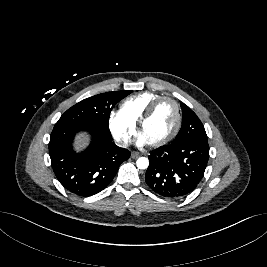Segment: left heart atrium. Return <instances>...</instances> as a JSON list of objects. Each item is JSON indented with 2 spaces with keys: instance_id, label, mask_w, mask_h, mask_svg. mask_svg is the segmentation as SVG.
<instances>
[{
  "instance_id": "39dd6f15",
  "label": "left heart atrium",
  "mask_w": 267,
  "mask_h": 267,
  "mask_svg": "<svg viewBox=\"0 0 267 267\" xmlns=\"http://www.w3.org/2000/svg\"><path fill=\"white\" fill-rule=\"evenodd\" d=\"M137 144L140 146H144L147 144H150L143 136L139 135L138 139H137Z\"/></svg>"
}]
</instances>
